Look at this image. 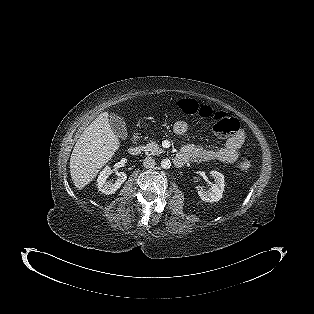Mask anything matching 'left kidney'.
Listing matches in <instances>:
<instances>
[{"label":"left kidney","mask_w":314,"mask_h":314,"mask_svg":"<svg viewBox=\"0 0 314 314\" xmlns=\"http://www.w3.org/2000/svg\"><path fill=\"white\" fill-rule=\"evenodd\" d=\"M210 174L214 178V183L209 189H200L198 195L201 200L213 203L218 202L222 198L225 181L224 175L218 171H211Z\"/></svg>","instance_id":"5707ae66"}]
</instances>
